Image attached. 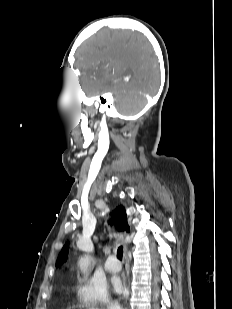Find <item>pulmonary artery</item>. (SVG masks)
Returning <instances> with one entry per match:
<instances>
[{
  "instance_id": "e3ab8cb5",
  "label": "pulmonary artery",
  "mask_w": 232,
  "mask_h": 309,
  "mask_svg": "<svg viewBox=\"0 0 232 309\" xmlns=\"http://www.w3.org/2000/svg\"><path fill=\"white\" fill-rule=\"evenodd\" d=\"M104 268L110 273H116L120 271L121 265L114 256H109L104 262Z\"/></svg>"
}]
</instances>
